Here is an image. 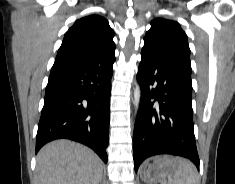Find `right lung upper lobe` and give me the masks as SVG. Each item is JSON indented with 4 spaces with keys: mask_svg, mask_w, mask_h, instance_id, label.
<instances>
[{
    "mask_svg": "<svg viewBox=\"0 0 235 184\" xmlns=\"http://www.w3.org/2000/svg\"><path fill=\"white\" fill-rule=\"evenodd\" d=\"M113 36L114 32L104 17H83L66 32L54 64H98L113 61Z\"/></svg>",
    "mask_w": 235,
    "mask_h": 184,
    "instance_id": "obj_1",
    "label": "right lung upper lobe"
}]
</instances>
